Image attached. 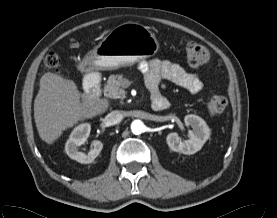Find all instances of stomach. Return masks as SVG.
<instances>
[{"label":"stomach","instance_id":"stomach-1","mask_svg":"<svg viewBox=\"0 0 277 218\" xmlns=\"http://www.w3.org/2000/svg\"><path fill=\"white\" fill-rule=\"evenodd\" d=\"M159 43L144 25L123 23L112 29L84 58L81 68L91 70H116L149 58L157 53Z\"/></svg>","mask_w":277,"mask_h":218}]
</instances>
